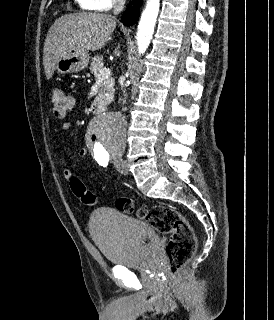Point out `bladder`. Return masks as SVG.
<instances>
[{
	"mask_svg": "<svg viewBox=\"0 0 274 320\" xmlns=\"http://www.w3.org/2000/svg\"><path fill=\"white\" fill-rule=\"evenodd\" d=\"M88 229L104 259L117 266L146 263L154 257L160 243L151 225L111 208L93 211Z\"/></svg>",
	"mask_w": 274,
	"mask_h": 320,
	"instance_id": "31cf9c89",
	"label": "bladder"
}]
</instances>
